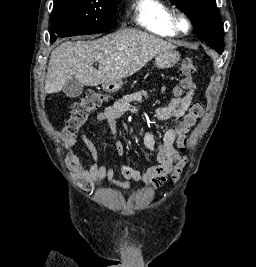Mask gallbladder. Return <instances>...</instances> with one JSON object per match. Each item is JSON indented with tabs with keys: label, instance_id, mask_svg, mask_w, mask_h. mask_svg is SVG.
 I'll list each match as a JSON object with an SVG mask.
<instances>
[{
	"label": "gallbladder",
	"instance_id": "1",
	"mask_svg": "<svg viewBox=\"0 0 256 267\" xmlns=\"http://www.w3.org/2000/svg\"><path fill=\"white\" fill-rule=\"evenodd\" d=\"M83 88L84 84H81L76 78H72V80H67V82H65L62 90L68 98H78V96H81Z\"/></svg>",
	"mask_w": 256,
	"mask_h": 267
}]
</instances>
